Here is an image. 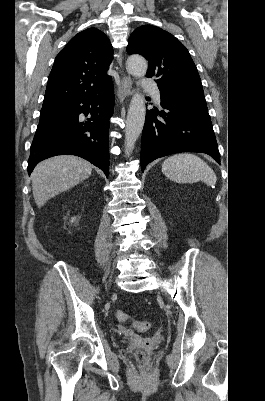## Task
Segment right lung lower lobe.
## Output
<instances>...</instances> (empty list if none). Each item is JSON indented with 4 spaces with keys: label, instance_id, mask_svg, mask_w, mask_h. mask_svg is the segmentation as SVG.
Wrapping results in <instances>:
<instances>
[{
    "label": "right lung lower lobe",
    "instance_id": "1",
    "mask_svg": "<svg viewBox=\"0 0 265 401\" xmlns=\"http://www.w3.org/2000/svg\"><path fill=\"white\" fill-rule=\"evenodd\" d=\"M92 106L90 109L89 106ZM114 111L113 83L98 93L42 111L31 145L28 173L38 162L62 154L80 156L109 172V119ZM90 118L85 121L81 113Z\"/></svg>",
    "mask_w": 265,
    "mask_h": 401
}]
</instances>
